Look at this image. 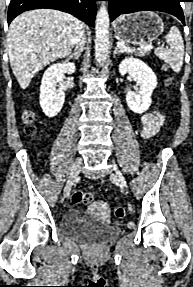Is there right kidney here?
<instances>
[{"label":"right kidney","instance_id":"1","mask_svg":"<svg viewBox=\"0 0 193 287\" xmlns=\"http://www.w3.org/2000/svg\"><path fill=\"white\" fill-rule=\"evenodd\" d=\"M75 64L69 62L56 63L45 71L40 86V106L48 117L56 116L62 109L65 101V92L62 88L64 74H73ZM59 82V88L56 84Z\"/></svg>","mask_w":193,"mask_h":287}]
</instances>
